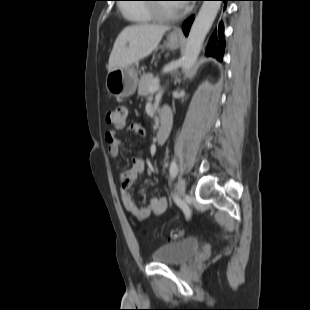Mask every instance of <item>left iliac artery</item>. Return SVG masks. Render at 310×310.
<instances>
[{
	"label": "left iliac artery",
	"instance_id": "left-iliac-artery-1",
	"mask_svg": "<svg viewBox=\"0 0 310 310\" xmlns=\"http://www.w3.org/2000/svg\"><path fill=\"white\" fill-rule=\"evenodd\" d=\"M169 171H170L171 177L175 178L177 173H178V165H177L175 159H173L171 161ZM173 200L176 203V205L179 206L182 209L186 219H189L191 217V210H190V208L181 199H179L176 196H173Z\"/></svg>",
	"mask_w": 310,
	"mask_h": 310
}]
</instances>
